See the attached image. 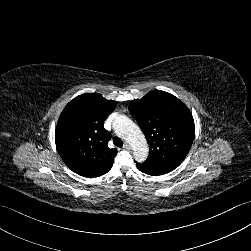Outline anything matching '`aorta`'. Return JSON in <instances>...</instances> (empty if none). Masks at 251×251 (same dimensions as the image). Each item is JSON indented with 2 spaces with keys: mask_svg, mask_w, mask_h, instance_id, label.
Returning a JSON list of instances; mask_svg holds the SVG:
<instances>
[{
  "mask_svg": "<svg viewBox=\"0 0 251 251\" xmlns=\"http://www.w3.org/2000/svg\"><path fill=\"white\" fill-rule=\"evenodd\" d=\"M113 128L119 137L132 146L135 159L144 161L148 154V144L140 128L124 115L114 120Z\"/></svg>",
  "mask_w": 251,
  "mask_h": 251,
  "instance_id": "obj_1",
  "label": "aorta"
}]
</instances>
